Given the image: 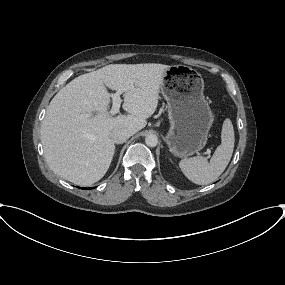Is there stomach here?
Returning a JSON list of instances; mask_svg holds the SVG:
<instances>
[{
	"instance_id": "obj_1",
	"label": "stomach",
	"mask_w": 285,
	"mask_h": 285,
	"mask_svg": "<svg viewBox=\"0 0 285 285\" xmlns=\"http://www.w3.org/2000/svg\"><path fill=\"white\" fill-rule=\"evenodd\" d=\"M160 89L168 105L170 128L165 142L170 152L180 158L198 153L207 143L214 120L203 94V78L187 66H170Z\"/></svg>"
}]
</instances>
